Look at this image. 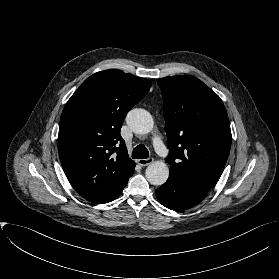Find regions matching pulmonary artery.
Returning <instances> with one entry per match:
<instances>
[{"mask_svg": "<svg viewBox=\"0 0 279 279\" xmlns=\"http://www.w3.org/2000/svg\"><path fill=\"white\" fill-rule=\"evenodd\" d=\"M152 143L158 154H160L163 157L169 156V152L166 149V147L164 146L163 142L160 140V138H158V137L154 138Z\"/></svg>", "mask_w": 279, "mask_h": 279, "instance_id": "e3ab8cb5", "label": "pulmonary artery"}]
</instances>
